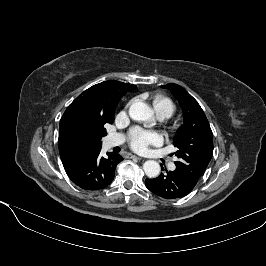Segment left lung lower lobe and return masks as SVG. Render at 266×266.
<instances>
[{
  "label": "left lung lower lobe",
  "mask_w": 266,
  "mask_h": 266,
  "mask_svg": "<svg viewBox=\"0 0 266 266\" xmlns=\"http://www.w3.org/2000/svg\"><path fill=\"white\" fill-rule=\"evenodd\" d=\"M165 171L166 173L157 178L145 180L146 187L156 195L165 199H176L188 195L194 189L195 184L187 180L178 170Z\"/></svg>",
  "instance_id": "1"
}]
</instances>
